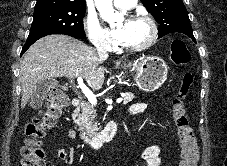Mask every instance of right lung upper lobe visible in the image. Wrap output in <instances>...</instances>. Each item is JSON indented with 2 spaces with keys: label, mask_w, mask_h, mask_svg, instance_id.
<instances>
[{
  "label": "right lung upper lobe",
  "mask_w": 227,
  "mask_h": 166,
  "mask_svg": "<svg viewBox=\"0 0 227 166\" xmlns=\"http://www.w3.org/2000/svg\"><path fill=\"white\" fill-rule=\"evenodd\" d=\"M75 5L86 7L85 0H37L36 5Z\"/></svg>",
  "instance_id": "right-lung-upper-lobe-1"
}]
</instances>
